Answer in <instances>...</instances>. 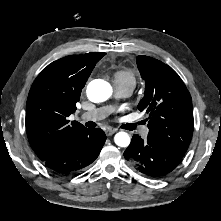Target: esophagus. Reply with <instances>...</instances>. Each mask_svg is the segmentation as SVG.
I'll return each mask as SVG.
<instances>
[{
	"label": "esophagus",
	"mask_w": 221,
	"mask_h": 221,
	"mask_svg": "<svg viewBox=\"0 0 221 221\" xmlns=\"http://www.w3.org/2000/svg\"><path fill=\"white\" fill-rule=\"evenodd\" d=\"M117 130L116 129H113V128H108L106 129L105 133L107 136H111L113 135Z\"/></svg>",
	"instance_id": "obj_1"
}]
</instances>
